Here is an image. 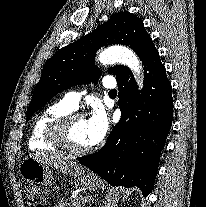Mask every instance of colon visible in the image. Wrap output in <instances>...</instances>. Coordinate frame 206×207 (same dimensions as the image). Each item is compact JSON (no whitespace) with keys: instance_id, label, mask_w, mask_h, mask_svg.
<instances>
[{"instance_id":"colon-1","label":"colon","mask_w":206,"mask_h":207,"mask_svg":"<svg viewBox=\"0 0 206 207\" xmlns=\"http://www.w3.org/2000/svg\"><path fill=\"white\" fill-rule=\"evenodd\" d=\"M26 200L31 207H44L43 195L34 187H28L26 190Z\"/></svg>"}]
</instances>
